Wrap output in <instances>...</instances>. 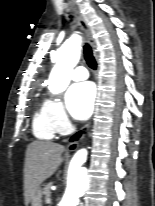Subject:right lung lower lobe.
<instances>
[{
	"label": "right lung lower lobe",
	"mask_w": 155,
	"mask_h": 206,
	"mask_svg": "<svg viewBox=\"0 0 155 206\" xmlns=\"http://www.w3.org/2000/svg\"><path fill=\"white\" fill-rule=\"evenodd\" d=\"M81 133H82V132L76 133V134L71 138V141H76V140H78V138L81 136Z\"/></svg>",
	"instance_id": "98d812e1"
}]
</instances>
